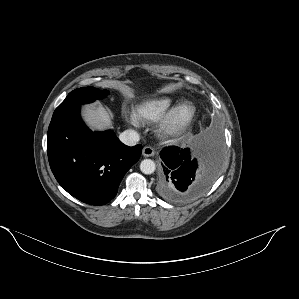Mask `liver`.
<instances>
[{
    "label": "liver",
    "instance_id": "6515ba94",
    "mask_svg": "<svg viewBox=\"0 0 299 299\" xmlns=\"http://www.w3.org/2000/svg\"><path fill=\"white\" fill-rule=\"evenodd\" d=\"M82 115L86 124L93 130L103 131L112 126V116L100 103L84 106Z\"/></svg>",
    "mask_w": 299,
    "mask_h": 299
}]
</instances>
